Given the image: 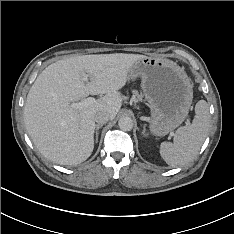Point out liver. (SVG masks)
Wrapping results in <instances>:
<instances>
[{"label":"liver","instance_id":"1","mask_svg":"<svg viewBox=\"0 0 234 234\" xmlns=\"http://www.w3.org/2000/svg\"><path fill=\"white\" fill-rule=\"evenodd\" d=\"M139 54L73 56L52 63L37 77L24 105V123L38 151L60 165L84 162L94 149V116L104 110L113 119L122 106L119 90ZM87 73L89 82H84ZM104 97L80 110L71 102L89 95Z\"/></svg>","mask_w":234,"mask_h":234}]
</instances>
